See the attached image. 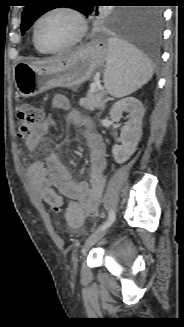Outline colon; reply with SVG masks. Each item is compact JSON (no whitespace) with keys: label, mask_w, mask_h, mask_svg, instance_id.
Instances as JSON below:
<instances>
[{"label":"colon","mask_w":184,"mask_h":327,"mask_svg":"<svg viewBox=\"0 0 184 327\" xmlns=\"http://www.w3.org/2000/svg\"><path fill=\"white\" fill-rule=\"evenodd\" d=\"M18 124V135L21 138H30L38 129L43 119V111L38 106L31 103H23L17 108L16 113ZM54 212H59L60 209L52 208ZM98 214L97 208H93L88 212L91 218Z\"/></svg>","instance_id":"5ec220e1"}]
</instances>
